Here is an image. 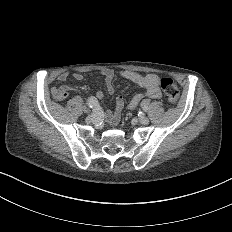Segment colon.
I'll list each match as a JSON object with an SVG mask.
<instances>
[{"mask_svg": "<svg viewBox=\"0 0 232 232\" xmlns=\"http://www.w3.org/2000/svg\"><path fill=\"white\" fill-rule=\"evenodd\" d=\"M175 82L171 81L168 77H163L159 81V86L163 89L164 101H172V103H177V95H179L178 86H174ZM61 98H71V93H58L55 96V101H61Z\"/></svg>", "mask_w": 232, "mask_h": 232, "instance_id": "1", "label": "colon"}]
</instances>
